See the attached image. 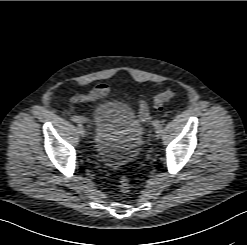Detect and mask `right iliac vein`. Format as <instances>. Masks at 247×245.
<instances>
[{
    "label": "right iliac vein",
    "instance_id": "obj_1",
    "mask_svg": "<svg viewBox=\"0 0 247 245\" xmlns=\"http://www.w3.org/2000/svg\"><path fill=\"white\" fill-rule=\"evenodd\" d=\"M77 130H78V133L80 134V136L85 137L86 132H85L84 127L81 124H78Z\"/></svg>",
    "mask_w": 247,
    "mask_h": 245
}]
</instances>
